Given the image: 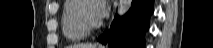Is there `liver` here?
I'll return each mask as SVG.
<instances>
[{
  "mask_svg": "<svg viewBox=\"0 0 213 48\" xmlns=\"http://www.w3.org/2000/svg\"><path fill=\"white\" fill-rule=\"evenodd\" d=\"M69 48H96V45L85 43V44H74Z\"/></svg>",
  "mask_w": 213,
  "mask_h": 48,
  "instance_id": "1",
  "label": "liver"
}]
</instances>
